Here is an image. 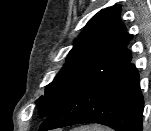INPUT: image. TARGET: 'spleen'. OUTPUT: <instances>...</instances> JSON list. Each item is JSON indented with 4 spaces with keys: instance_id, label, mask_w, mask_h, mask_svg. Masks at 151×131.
Here are the masks:
<instances>
[{
    "instance_id": "1",
    "label": "spleen",
    "mask_w": 151,
    "mask_h": 131,
    "mask_svg": "<svg viewBox=\"0 0 151 131\" xmlns=\"http://www.w3.org/2000/svg\"><path fill=\"white\" fill-rule=\"evenodd\" d=\"M74 131H112L111 129L93 125V126H82L74 129Z\"/></svg>"
}]
</instances>
